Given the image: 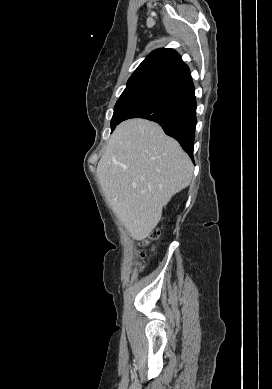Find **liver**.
Listing matches in <instances>:
<instances>
[{
	"label": "liver",
	"instance_id": "obj_1",
	"mask_svg": "<svg viewBox=\"0 0 272 389\" xmlns=\"http://www.w3.org/2000/svg\"><path fill=\"white\" fill-rule=\"evenodd\" d=\"M179 143L156 123L130 119L111 135L97 176L111 208L135 240L147 238L172 196L193 177Z\"/></svg>",
	"mask_w": 272,
	"mask_h": 389
}]
</instances>
